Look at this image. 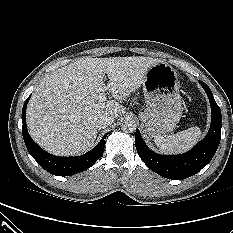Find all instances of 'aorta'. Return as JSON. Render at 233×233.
<instances>
[{"label": "aorta", "instance_id": "aorta-1", "mask_svg": "<svg viewBox=\"0 0 233 233\" xmlns=\"http://www.w3.org/2000/svg\"><path fill=\"white\" fill-rule=\"evenodd\" d=\"M137 128V124L133 119H125L122 123H121V129L124 132H134Z\"/></svg>", "mask_w": 233, "mask_h": 233}]
</instances>
